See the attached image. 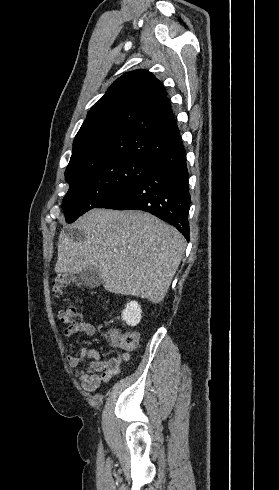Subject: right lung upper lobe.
Wrapping results in <instances>:
<instances>
[{
	"instance_id": "1",
	"label": "right lung upper lobe",
	"mask_w": 279,
	"mask_h": 490,
	"mask_svg": "<svg viewBox=\"0 0 279 490\" xmlns=\"http://www.w3.org/2000/svg\"><path fill=\"white\" fill-rule=\"evenodd\" d=\"M182 145L170 100L149 71L125 73L88 112L74 142L68 173L101 159L154 162Z\"/></svg>"
}]
</instances>
